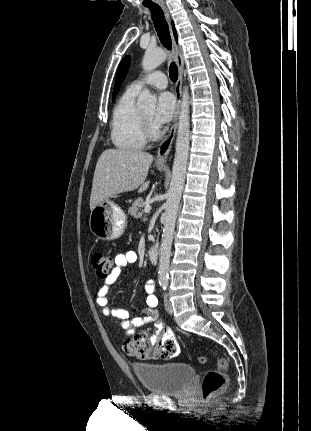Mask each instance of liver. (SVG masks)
Wrapping results in <instances>:
<instances>
[{"instance_id":"1","label":"liver","mask_w":311,"mask_h":431,"mask_svg":"<svg viewBox=\"0 0 311 431\" xmlns=\"http://www.w3.org/2000/svg\"><path fill=\"white\" fill-rule=\"evenodd\" d=\"M154 158L142 150H105L95 168L90 196V210L116 194L133 192L143 194L149 188L146 182Z\"/></svg>"}]
</instances>
